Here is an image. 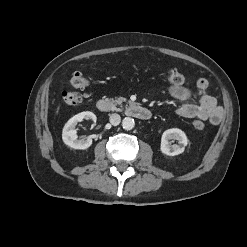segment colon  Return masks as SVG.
<instances>
[{"label":"colon","mask_w":247,"mask_h":247,"mask_svg":"<svg viewBox=\"0 0 247 247\" xmlns=\"http://www.w3.org/2000/svg\"><path fill=\"white\" fill-rule=\"evenodd\" d=\"M167 80L171 85H182L185 81L184 76L177 72L172 71L167 74ZM72 90L64 91L62 93L63 100L70 105H75L80 103L86 96V90L90 85V81L82 73L77 72L73 75L71 79ZM193 127L196 130H203L205 124L202 120L196 119L193 122Z\"/></svg>","instance_id":"colon-1"}]
</instances>
